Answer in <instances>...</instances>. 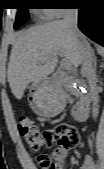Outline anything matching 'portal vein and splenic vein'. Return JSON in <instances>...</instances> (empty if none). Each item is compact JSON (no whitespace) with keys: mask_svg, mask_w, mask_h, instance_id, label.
Wrapping results in <instances>:
<instances>
[{"mask_svg":"<svg viewBox=\"0 0 104 169\" xmlns=\"http://www.w3.org/2000/svg\"><path fill=\"white\" fill-rule=\"evenodd\" d=\"M61 66L64 69H69L72 66V64L65 58L61 60Z\"/></svg>","mask_w":104,"mask_h":169,"instance_id":"portal-vein-and-splenic-vein-1","label":"portal vein and splenic vein"}]
</instances>
